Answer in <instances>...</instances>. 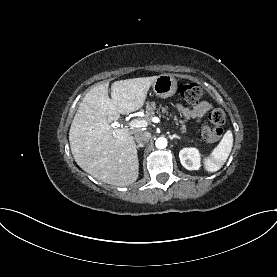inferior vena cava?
I'll list each match as a JSON object with an SVG mask.
<instances>
[{"label": "inferior vena cava", "instance_id": "obj_1", "mask_svg": "<svg viewBox=\"0 0 277 277\" xmlns=\"http://www.w3.org/2000/svg\"><path fill=\"white\" fill-rule=\"evenodd\" d=\"M151 134L149 132L139 131L135 134V140L138 144H145L149 142Z\"/></svg>", "mask_w": 277, "mask_h": 277}]
</instances>
